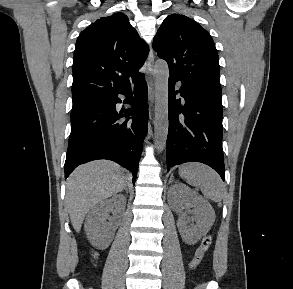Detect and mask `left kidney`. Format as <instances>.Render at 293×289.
<instances>
[{"mask_svg":"<svg viewBox=\"0 0 293 289\" xmlns=\"http://www.w3.org/2000/svg\"><path fill=\"white\" fill-rule=\"evenodd\" d=\"M170 192L174 196L170 205L175 211L180 212L184 203L194 207L195 216L192 221H195V225H188L184 216L179 217L177 221V227L183 241L193 245L211 228L215 220V212L207 200L183 184L172 186Z\"/></svg>","mask_w":293,"mask_h":289,"instance_id":"1","label":"left kidney"}]
</instances>
